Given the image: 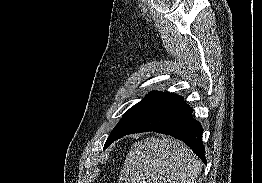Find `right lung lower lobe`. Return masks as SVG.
<instances>
[{
  "mask_svg": "<svg viewBox=\"0 0 262 183\" xmlns=\"http://www.w3.org/2000/svg\"><path fill=\"white\" fill-rule=\"evenodd\" d=\"M148 131L170 135L183 141L206 163L201 139L202 126L192 117V108L181 96L169 92L156 93L117 139ZM109 145H105L104 149Z\"/></svg>",
  "mask_w": 262,
  "mask_h": 183,
  "instance_id": "1",
  "label": "right lung lower lobe"
}]
</instances>
